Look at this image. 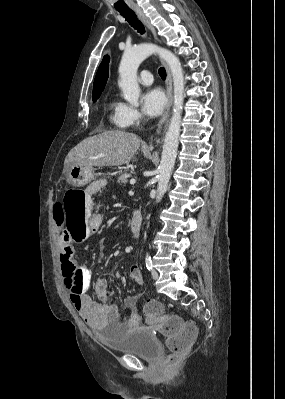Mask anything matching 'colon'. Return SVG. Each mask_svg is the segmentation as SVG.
I'll use <instances>...</instances> for the list:
<instances>
[{"label":"colon","instance_id":"5ec220e1","mask_svg":"<svg viewBox=\"0 0 285 399\" xmlns=\"http://www.w3.org/2000/svg\"><path fill=\"white\" fill-rule=\"evenodd\" d=\"M63 211V225L70 234L72 241L81 243L92 235L91 222L88 218L86 201L78 196L75 191H67L60 203ZM60 258L61 269L65 279L66 289L73 303L80 304L83 293V282L76 277L77 263L73 255V249L68 247ZM143 312L145 315L158 319L163 317V308L158 300L146 301ZM160 333L166 339L169 349L175 355L187 352L195 341L198 330L194 323L183 322L177 316H166L159 328ZM173 357H167L166 363H173Z\"/></svg>","mask_w":285,"mask_h":399}]
</instances>
